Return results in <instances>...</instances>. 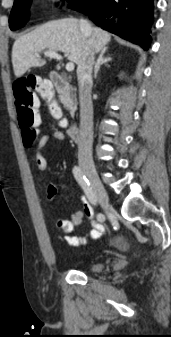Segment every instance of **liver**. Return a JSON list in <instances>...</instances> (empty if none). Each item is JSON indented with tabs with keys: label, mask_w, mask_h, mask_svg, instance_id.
I'll list each match as a JSON object with an SVG mask.
<instances>
[{
	"label": "liver",
	"mask_w": 171,
	"mask_h": 337,
	"mask_svg": "<svg viewBox=\"0 0 171 337\" xmlns=\"http://www.w3.org/2000/svg\"><path fill=\"white\" fill-rule=\"evenodd\" d=\"M89 39L92 40L91 50L99 52L106 48L111 36L100 28H93L91 33L82 32L80 21L75 18L49 21L15 40L12 48L14 74L19 78L31 67L44 66L46 61L36 54L46 49L63 52L68 60L79 65Z\"/></svg>",
	"instance_id": "obj_1"
}]
</instances>
